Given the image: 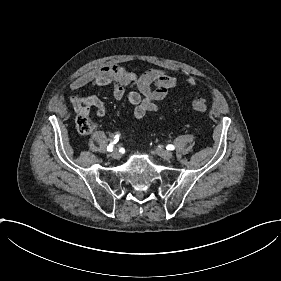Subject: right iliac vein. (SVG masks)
Wrapping results in <instances>:
<instances>
[{"instance_id": "right-iliac-vein-1", "label": "right iliac vein", "mask_w": 281, "mask_h": 281, "mask_svg": "<svg viewBox=\"0 0 281 281\" xmlns=\"http://www.w3.org/2000/svg\"><path fill=\"white\" fill-rule=\"evenodd\" d=\"M113 158H114V160H116V161H119V160H121V158H122V155H121V153H119V152H114L113 153Z\"/></svg>"}]
</instances>
